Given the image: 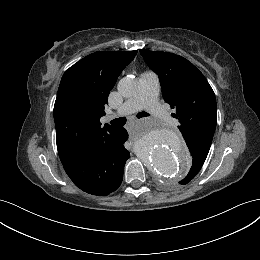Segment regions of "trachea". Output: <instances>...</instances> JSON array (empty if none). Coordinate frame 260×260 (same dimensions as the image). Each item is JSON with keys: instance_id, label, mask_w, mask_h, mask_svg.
<instances>
[{"instance_id": "1", "label": "trachea", "mask_w": 260, "mask_h": 260, "mask_svg": "<svg viewBox=\"0 0 260 260\" xmlns=\"http://www.w3.org/2000/svg\"><path fill=\"white\" fill-rule=\"evenodd\" d=\"M147 116H149V114L147 112H144V111L143 112H139L137 114L138 118L147 117ZM125 123H126V118L125 117H120L118 119H114V120L111 121V125H113V127H115V128L122 127V126L125 125Z\"/></svg>"}]
</instances>
